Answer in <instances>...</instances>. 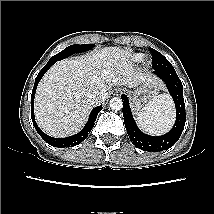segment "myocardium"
I'll return each mask as SVG.
<instances>
[{
  "instance_id": "obj_1",
  "label": "myocardium",
  "mask_w": 214,
  "mask_h": 214,
  "mask_svg": "<svg viewBox=\"0 0 214 214\" xmlns=\"http://www.w3.org/2000/svg\"><path fill=\"white\" fill-rule=\"evenodd\" d=\"M146 65L148 66V65H150V62L148 61V62H146Z\"/></svg>"
}]
</instances>
